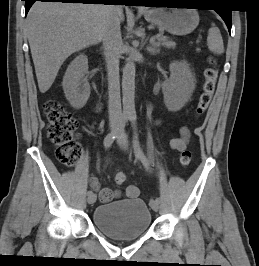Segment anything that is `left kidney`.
I'll return each instance as SVG.
<instances>
[{
	"mask_svg": "<svg viewBox=\"0 0 259 266\" xmlns=\"http://www.w3.org/2000/svg\"><path fill=\"white\" fill-rule=\"evenodd\" d=\"M170 77L162 84L164 103L169 111H179L190 100L195 78L189 64L175 61L169 66Z\"/></svg>",
	"mask_w": 259,
	"mask_h": 266,
	"instance_id": "1",
	"label": "left kidney"
}]
</instances>
